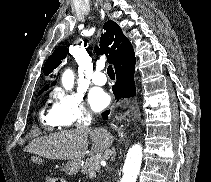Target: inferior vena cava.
<instances>
[{"mask_svg": "<svg viewBox=\"0 0 211 182\" xmlns=\"http://www.w3.org/2000/svg\"><path fill=\"white\" fill-rule=\"evenodd\" d=\"M90 116L86 115L83 120H82V124L80 125V129L82 128L83 131H88L91 130V127L87 126V123L89 122Z\"/></svg>", "mask_w": 211, "mask_h": 182, "instance_id": "inferior-vena-cava-1", "label": "inferior vena cava"}]
</instances>
